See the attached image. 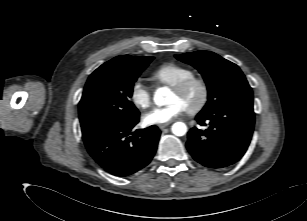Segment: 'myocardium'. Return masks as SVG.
I'll return each mask as SVG.
<instances>
[{
  "mask_svg": "<svg viewBox=\"0 0 307 221\" xmlns=\"http://www.w3.org/2000/svg\"><path fill=\"white\" fill-rule=\"evenodd\" d=\"M193 86L199 88L200 98L196 105L185 108L189 115H197L207 106L210 96V89L207 81L202 77L192 75L171 86L172 90L178 93H185Z\"/></svg>",
  "mask_w": 307,
  "mask_h": 221,
  "instance_id": "1",
  "label": "myocardium"
}]
</instances>
